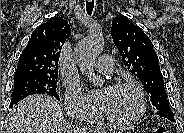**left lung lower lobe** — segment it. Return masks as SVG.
<instances>
[{
  "mask_svg": "<svg viewBox=\"0 0 184 133\" xmlns=\"http://www.w3.org/2000/svg\"><path fill=\"white\" fill-rule=\"evenodd\" d=\"M157 114L161 117L167 118L170 121L174 122V114L170 108H164L157 111Z\"/></svg>",
  "mask_w": 184,
  "mask_h": 133,
  "instance_id": "1",
  "label": "left lung lower lobe"
}]
</instances>
